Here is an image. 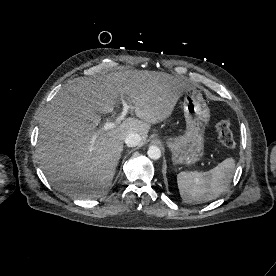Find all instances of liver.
Segmentation results:
<instances>
[{"mask_svg":"<svg viewBox=\"0 0 276 276\" xmlns=\"http://www.w3.org/2000/svg\"><path fill=\"white\" fill-rule=\"evenodd\" d=\"M191 86L164 72L127 70L64 86L40 120L37 154L52 185L80 199L100 197L114 178L129 133L143 143L151 124L167 119ZM119 97L135 108L110 130H97L101 114L113 112Z\"/></svg>","mask_w":276,"mask_h":276,"instance_id":"liver-1","label":"liver"}]
</instances>
